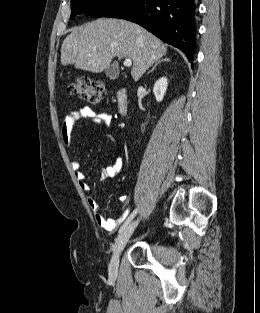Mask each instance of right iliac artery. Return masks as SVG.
I'll return each mask as SVG.
<instances>
[{
    "instance_id": "1",
    "label": "right iliac artery",
    "mask_w": 260,
    "mask_h": 313,
    "mask_svg": "<svg viewBox=\"0 0 260 313\" xmlns=\"http://www.w3.org/2000/svg\"><path fill=\"white\" fill-rule=\"evenodd\" d=\"M137 212H138V209H135L133 211V213L128 217V219L125 221V223L120 228L119 233H121L128 226V224L131 222V220L136 216Z\"/></svg>"
}]
</instances>
